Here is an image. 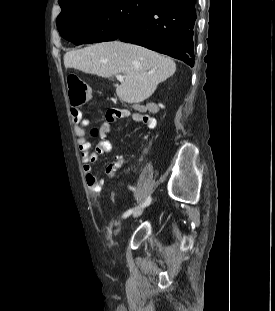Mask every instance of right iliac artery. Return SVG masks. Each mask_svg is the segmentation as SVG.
I'll use <instances>...</instances> for the list:
<instances>
[{
  "label": "right iliac artery",
  "instance_id": "82829eb1",
  "mask_svg": "<svg viewBox=\"0 0 275 311\" xmlns=\"http://www.w3.org/2000/svg\"><path fill=\"white\" fill-rule=\"evenodd\" d=\"M150 203H151V197L149 196V197L146 199V201L141 205V207H146V206H148ZM134 210H136V208L128 210V211L123 215V217H125V218L128 217L129 215H131V214L134 212Z\"/></svg>",
  "mask_w": 275,
  "mask_h": 311
}]
</instances>
